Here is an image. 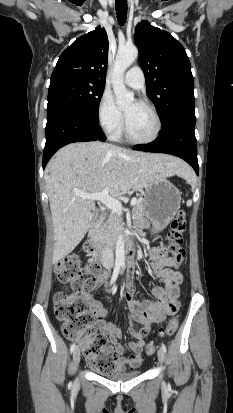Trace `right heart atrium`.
Instances as JSON below:
<instances>
[{"label":"right heart atrium","mask_w":233,"mask_h":413,"mask_svg":"<svg viewBox=\"0 0 233 413\" xmlns=\"http://www.w3.org/2000/svg\"><path fill=\"white\" fill-rule=\"evenodd\" d=\"M96 114L100 127L110 137L115 138L122 132L124 124L123 114L110 93L104 92L101 95L97 104Z\"/></svg>","instance_id":"obj_1"}]
</instances>
